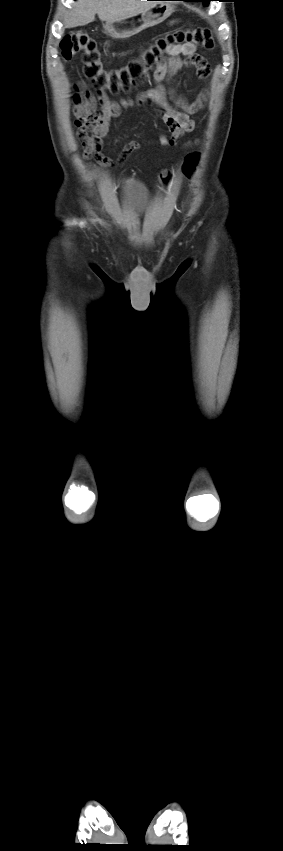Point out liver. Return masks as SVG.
I'll return each instance as SVG.
<instances>
[{"label": "liver", "instance_id": "obj_1", "mask_svg": "<svg viewBox=\"0 0 283 851\" xmlns=\"http://www.w3.org/2000/svg\"><path fill=\"white\" fill-rule=\"evenodd\" d=\"M154 3L147 0H77L64 24L68 28L84 26L94 21L96 14L101 21L112 22L135 15Z\"/></svg>", "mask_w": 283, "mask_h": 851}]
</instances>
